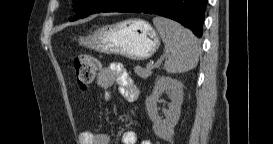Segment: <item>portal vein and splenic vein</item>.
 <instances>
[{"instance_id": "18ae733b", "label": "portal vein and splenic vein", "mask_w": 273, "mask_h": 144, "mask_svg": "<svg viewBox=\"0 0 273 144\" xmlns=\"http://www.w3.org/2000/svg\"><path fill=\"white\" fill-rule=\"evenodd\" d=\"M147 68L148 69H153L154 68V63L152 62V63H149L148 65H147Z\"/></svg>"}]
</instances>
